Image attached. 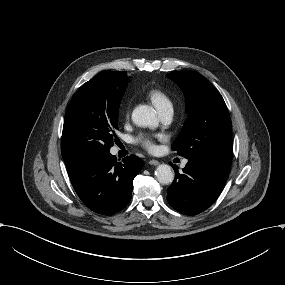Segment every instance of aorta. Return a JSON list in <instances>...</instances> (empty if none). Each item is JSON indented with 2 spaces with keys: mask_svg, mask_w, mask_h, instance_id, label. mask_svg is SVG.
<instances>
[{
  "mask_svg": "<svg viewBox=\"0 0 285 285\" xmlns=\"http://www.w3.org/2000/svg\"><path fill=\"white\" fill-rule=\"evenodd\" d=\"M133 122L140 127H156L158 124L155 110L148 105H140L132 112ZM155 176L161 184L168 185L174 180V172L171 166L161 164L155 171Z\"/></svg>",
  "mask_w": 285,
  "mask_h": 285,
  "instance_id": "obj_1",
  "label": "aorta"
}]
</instances>
